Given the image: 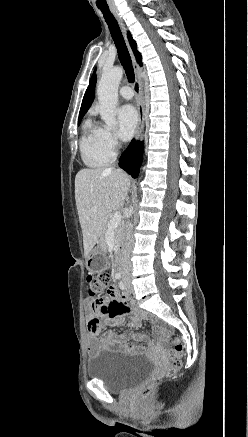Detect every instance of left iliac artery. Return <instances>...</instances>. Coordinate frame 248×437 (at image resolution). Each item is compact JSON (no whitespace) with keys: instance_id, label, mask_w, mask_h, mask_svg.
Segmentation results:
<instances>
[{"instance_id":"left-iliac-artery-1","label":"left iliac artery","mask_w":248,"mask_h":437,"mask_svg":"<svg viewBox=\"0 0 248 437\" xmlns=\"http://www.w3.org/2000/svg\"><path fill=\"white\" fill-rule=\"evenodd\" d=\"M119 285H120V288H121V289H124V288H125V286H124V284H123V282H122V281L120 282V284H119Z\"/></svg>"}]
</instances>
